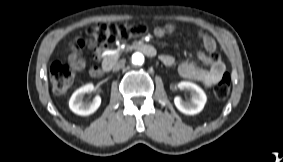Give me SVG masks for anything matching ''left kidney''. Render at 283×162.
<instances>
[{"mask_svg": "<svg viewBox=\"0 0 283 162\" xmlns=\"http://www.w3.org/2000/svg\"><path fill=\"white\" fill-rule=\"evenodd\" d=\"M178 87L189 91L191 98L190 100H182L181 97L176 96L174 98L176 108L186 115H194L201 112L207 101L205 92L198 85L188 81L180 82Z\"/></svg>", "mask_w": 283, "mask_h": 162, "instance_id": "obj_1", "label": "left kidney"}]
</instances>
